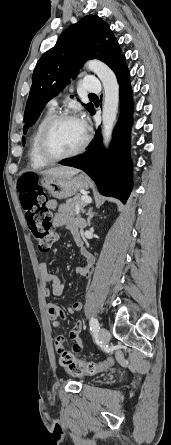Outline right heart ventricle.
<instances>
[{
  "label": "right heart ventricle",
  "mask_w": 171,
  "mask_h": 445,
  "mask_svg": "<svg viewBox=\"0 0 171 445\" xmlns=\"http://www.w3.org/2000/svg\"><path fill=\"white\" fill-rule=\"evenodd\" d=\"M53 116H54L53 108H49L38 121L36 128L33 132V135L31 137L30 147H29V161L31 166L34 168H41L48 164V162H46L40 157L37 145H38V138L43 126Z\"/></svg>",
  "instance_id": "obj_1"
}]
</instances>
